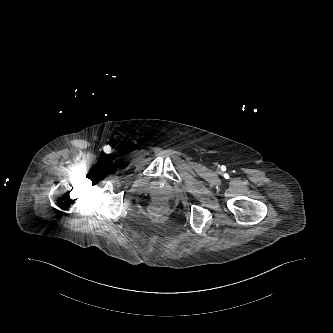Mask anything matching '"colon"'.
I'll list each match as a JSON object with an SVG mask.
<instances>
[{"label": "colon", "instance_id": "colon-1", "mask_svg": "<svg viewBox=\"0 0 333 333\" xmlns=\"http://www.w3.org/2000/svg\"><path fill=\"white\" fill-rule=\"evenodd\" d=\"M163 210H164V207H163L162 205H157V206L154 208V211H155L156 213H161V212H163Z\"/></svg>", "mask_w": 333, "mask_h": 333}]
</instances>
